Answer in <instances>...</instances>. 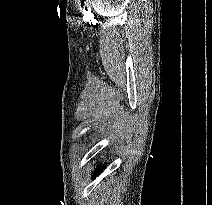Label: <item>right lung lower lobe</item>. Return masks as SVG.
I'll use <instances>...</instances> for the list:
<instances>
[{
  "label": "right lung lower lobe",
  "instance_id": "1",
  "mask_svg": "<svg viewBox=\"0 0 212 205\" xmlns=\"http://www.w3.org/2000/svg\"><path fill=\"white\" fill-rule=\"evenodd\" d=\"M102 171H103V167H100L98 170L95 171V174L93 175V177H95L96 175H99Z\"/></svg>",
  "mask_w": 212,
  "mask_h": 205
}]
</instances>
